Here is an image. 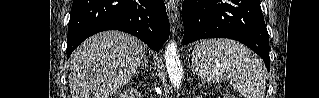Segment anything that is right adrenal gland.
I'll return each instance as SVG.
<instances>
[{"mask_svg": "<svg viewBox=\"0 0 319 98\" xmlns=\"http://www.w3.org/2000/svg\"><path fill=\"white\" fill-rule=\"evenodd\" d=\"M143 59H144V63L141 64V68L144 66L148 68V60H147L146 54H144Z\"/></svg>", "mask_w": 319, "mask_h": 98, "instance_id": "right-adrenal-gland-1", "label": "right adrenal gland"}]
</instances>
